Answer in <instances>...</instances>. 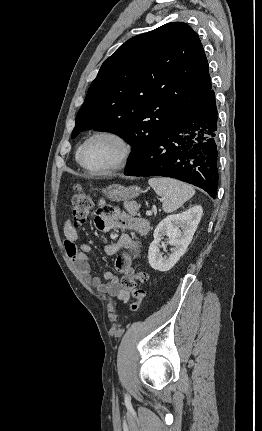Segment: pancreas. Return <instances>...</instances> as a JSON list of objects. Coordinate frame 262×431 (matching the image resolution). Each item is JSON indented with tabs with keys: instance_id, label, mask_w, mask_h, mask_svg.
Instances as JSON below:
<instances>
[{
	"instance_id": "1",
	"label": "pancreas",
	"mask_w": 262,
	"mask_h": 431,
	"mask_svg": "<svg viewBox=\"0 0 262 431\" xmlns=\"http://www.w3.org/2000/svg\"><path fill=\"white\" fill-rule=\"evenodd\" d=\"M125 208L129 211V213L131 214V215H135L136 214V211H137V207L136 206H130V205H125Z\"/></svg>"
}]
</instances>
